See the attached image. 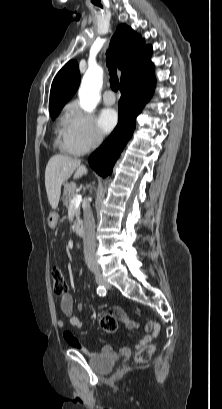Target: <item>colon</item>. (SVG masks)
Here are the masks:
<instances>
[{"mask_svg":"<svg viewBox=\"0 0 222 409\" xmlns=\"http://www.w3.org/2000/svg\"><path fill=\"white\" fill-rule=\"evenodd\" d=\"M51 285L53 293L57 296H63L68 291V285L65 276L61 269L55 267L51 271ZM100 325L106 331H114L117 324L110 318L109 315H104L100 318ZM153 352V346H144L136 355L138 362H146L149 360Z\"/></svg>","mask_w":222,"mask_h":409,"instance_id":"5ec220e1","label":"colon"}]
</instances>
